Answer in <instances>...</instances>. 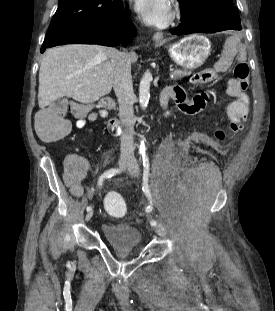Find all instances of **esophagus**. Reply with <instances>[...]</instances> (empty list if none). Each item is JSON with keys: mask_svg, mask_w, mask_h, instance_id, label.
Masks as SVG:
<instances>
[{"mask_svg": "<svg viewBox=\"0 0 275 311\" xmlns=\"http://www.w3.org/2000/svg\"><path fill=\"white\" fill-rule=\"evenodd\" d=\"M153 40L156 42V43H163L164 42V35L162 32H156L154 35H153Z\"/></svg>", "mask_w": 275, "mask_h": 311, "instance_id": "obj_1", "label": "esophagus"}]
</instances>
